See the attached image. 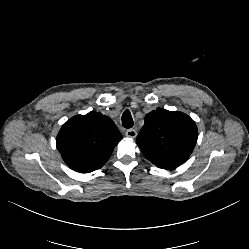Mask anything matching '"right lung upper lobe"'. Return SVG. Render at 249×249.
I'll return each mask as SVG.
<instances>
[{"mask_svg": "<svg viewBox=\"0 0 249 249\" xmlns=\"http://www.w3.org/2000/svg\"><path fill=\"white\" fill-rule=\"evenodd\" d=\"M122 139L115 123L100 112L69 119L57 136V149L64 162L77 172L101 168Z\"/></svg>", "mask_w": 249, "mask_h": 249, "instance_id": "cb5924a9", "label": "right lung upper lobe"}]
</instances>
